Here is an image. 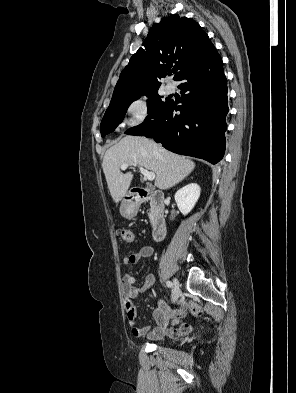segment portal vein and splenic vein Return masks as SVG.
<instances>
[{
    "label": "portal vein and splenic vein",
    "mask_w": 296,
    "mask_h": 393,
    "mask_svg": "<svg viewBox=\"0 0 296 393\" xmlns=\"http://www.w3.org/2000/svg\"><path fill=\"white\" fill-rule=\"evenodd\" d=\"M133 166H137L136 163L132 164ZM129 166V164L125 163L123 165H121V170H125L127 169V167ZM139 170L141 172V174L144 176V178L148 179L149 181H153L155 179V173L153 172H149L148 170L144 169L143 167H139Z\"/></svg>",
    "instance_id": "18ae733b"
}]
</instances>
